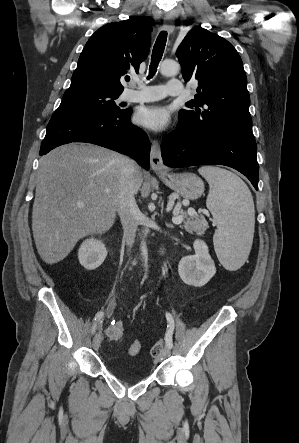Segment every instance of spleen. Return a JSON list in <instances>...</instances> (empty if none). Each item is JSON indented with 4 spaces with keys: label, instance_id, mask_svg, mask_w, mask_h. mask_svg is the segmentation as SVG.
<instances>
[{
    "label": "spleen",
    "instance_id": "1",
    "mask_svg": "<svg viewBox=\"0 0 299 443\" xmlns=\"http://www.w3.org/2000/svg\"><path fill=\"white\" fill-rule=\"evenodd\" d=\"M198 171L209 184L206 206L218 224L213 236L215 252L227 270L235 271L245 263L253 241L252 195L246 184L228 170L203 166Z\"/></svg>",
    "mask_w": 299,
    "mask_h": 443
}]
</instances>
